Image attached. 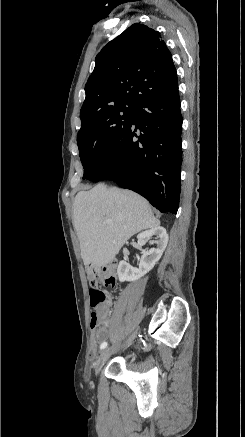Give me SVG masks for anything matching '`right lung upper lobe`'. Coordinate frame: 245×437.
<instances>
[{
  "label": "right lung upper lobe",
  "mask_w": 245,
  "mask_h": 437,
  "mask_svg": "<svg viewBox=\"0 0 245 437\" xmlns=\"http://www.w3.org/2000/svg\"><path fill=\"white\" fill-rule=\"evenodd\" d=\"M176 87V68L160 33L135 23L96 56L94 71L85 84L81 124L110 106L136 105Z\"/></svg>",
  "instance_id": "obj_1"
}]
</instances>
